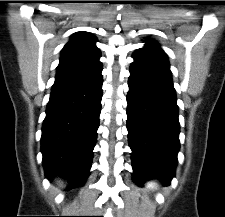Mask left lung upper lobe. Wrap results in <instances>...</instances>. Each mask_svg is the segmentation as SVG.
Segmentation results:
<instances>
[{
	"mask_svg": "<svg viewBox=\"0 0 225 217\" xmlns=\"http://www.w3.org/2000/svg\"><path fill=\"white\" fill-rule=\"evenodd\" d=\"M134 65L147 67H164L169 69L167 54L160 48L159 44L150 40L145 47L136 50L133 54Z\"/></svg>",
	"mask_w": 225,
	"mask_h": 217,
	"instance_id": "1",
	"label": "left lung upper lobe"
}]
</instances>
